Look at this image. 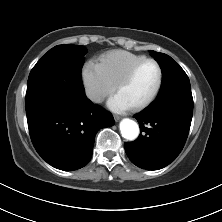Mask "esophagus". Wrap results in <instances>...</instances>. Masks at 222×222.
Masks as SVG:
<instances>
[{
  "label": "esophagus",
  "mask_w": 222,
  "mask_h": 222,
  "mask_svg": "<svg viewBox=\"0 0 222 222\" xmlns=\"http://www.w3.org/2000/svg\"><path fill=\"white\" fill-rule=\"evenodd\" d=\"M120 116H118V115H114V120L116 121V122H118L119 120H120Z\"/></svg>",
  "instance_id": "1"
}]
</instances>
